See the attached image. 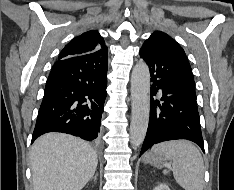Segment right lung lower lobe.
<instances>
[{
  "label": "right lung lower lobe",
  "mask_w": 234,
  "mask_h": 190,
  "mask_svg": "<svg viewBox=\"0 0 234 190\" xmlns=\"http://www.w3.org/2000/svg\"><path fill=\"white\" fill-rule=\"evenodd\" d=\"M108 52L58 60L48 77L32 142L47 132L97 140L107 87Z\"/></svg>",
  "instance_id": "1"
}]
</instances>
